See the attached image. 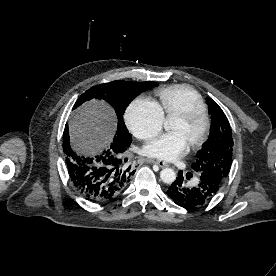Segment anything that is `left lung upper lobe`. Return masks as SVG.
Returning <instances> with one entry per match:
<instances>
[{
	"label": "left lung upper lobe",
	"mask_w": 276,
	"mask_h": 276,
	"mask_svg": "<svg viewBox=\"0 0 276 276\" xmlns=\"http://www.w3.org/2000/svg\"><path fill=\"white\" fill-rule=\"evenodd\" d=\"M209 112L212 116L210 135L203 148L198 151L197 159L191 165L195 172L204 169L217 176L221 186L230 172L233 156V138L229 121L211 98H207Z\"/></svg>",
	"instance_id": "5c2ea615"
}]
</instances>
